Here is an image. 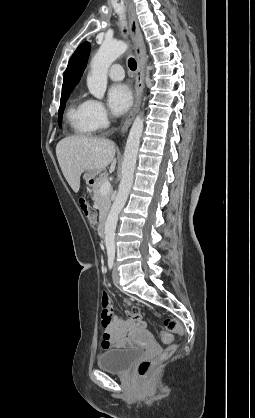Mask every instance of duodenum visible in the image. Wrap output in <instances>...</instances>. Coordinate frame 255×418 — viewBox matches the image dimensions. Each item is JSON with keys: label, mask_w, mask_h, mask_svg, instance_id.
I'll use <instances>...</instances> for the list:
<instances>
[{"label": "duodenum", "mask_w": 255, "mask_h": 418, "mask_svg": "<svg viewBox=\"0 0 255 418\" xmlns=\"http://www.w3.org/2000/svg\"><path fill=\"white\" fill-rule=\"evenodd\" d=\"M107 214H103L99 220L97 232L99 237L104 238L106 234Z\"/></svg>", "instance_id": "obj_1"}]
</instances>
